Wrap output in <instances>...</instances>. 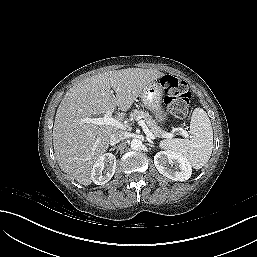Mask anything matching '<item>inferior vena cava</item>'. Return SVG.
<instances>
[{
    "label": "inferior vena cava",
    "instance_id": "602c4592",
    "mask_svg": "<svg viewBox=\"0 0 257 257\" xmlns=\"http://www.w3.org/2000/svg\"><path fill=\"white\" fill-rule=\"evenodd\" d=\"M125 138H126L125 133L123 131H118L116 133H113L110 136L109 142L111 145H115V144L119 143L120 141H123Z\"/></svg>",
    "mask_w": 257,
    "mask_h": 257
}]
</instances>
